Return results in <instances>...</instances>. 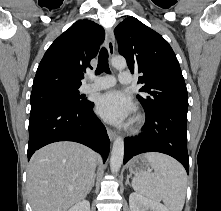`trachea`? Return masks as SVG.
<instances>
[{
	"instance_id": "trachea-1",
	"label": "trachea",
	"mask_w": 221,
	"mask_h": 211,
	"mask_svg": "<svg viewBox=\"0 0 221 211\" xmlns=\"http://www.w3.org/2000/svg\"><path fill=\"white\" fill-rule=\"evenodd\" d=\"M102 72L110 73L108 64V51L105 47H103L99 53L98 66L95 73L96 75H99Z\"/></svg>"
}]
</instances>
